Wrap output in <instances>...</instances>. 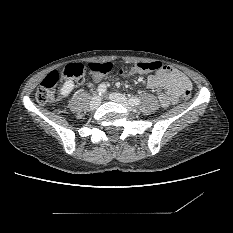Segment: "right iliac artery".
I'll use <instances>...</instances> for the list:
<instances>
[{
  "label": "right iliac artery",
  "mask_w": 233,
  "mask_h": 233,
  "mask_svg": "<svg viewBox=\"0 0 233 233\" xmlns=\"http://www.w3.org/2000/svg\"><path fill=\"white\" fill-rule=\"evenodd\" d=\"M106 90L107 87L105 84H100L97 89L99 95H103L106 92Z\"/></svg>",
  "instance_id": "obj_1"
}]
</instances>
